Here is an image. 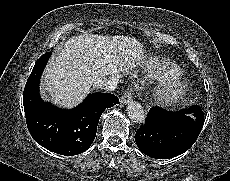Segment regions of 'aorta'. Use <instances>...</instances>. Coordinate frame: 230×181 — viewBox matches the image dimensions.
Listing matches in <instances>:
<instances>
[{"instance_id": "762f6f07", "label": "aorta", "mask_w": 230, "mask_h": 181, "mask_svg": "<svg viewBox=\"0 0 230 181\" xmlns=\"http://www.w3.org/2000/svg\"><path fill=\"white\" fill-rule=\"evenodd\" d=\"M127 114L130 120L137 124L145 122L146 113L139 102L131 101L127 105Z\"/></svg>"}]
</instances>
